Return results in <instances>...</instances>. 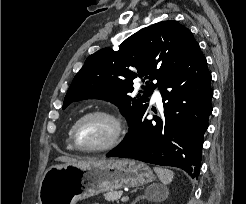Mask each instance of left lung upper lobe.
I'll return each mask as SVG.
<instances>
[{
    "mask_svg": "<svg viewBox=\"0 0 246 204\" xmlns=\"http://www.w3.org/2000/svg\"><path fill=\"white\" fill-rule=\"evenodd\" d=\"M198 44L177 21H162L126 39L119 50L104 48L90 55L74 77L63 109L74 101L98 98L116 104L131 124L148 107V96L185 60ZM143 79L144 91L133 92V80ZM157 84H149V80ZM146 80V81H145Z\"/></svg>",
    "mask_w": 246,
    "mask_h": 204,
    "instance_id": "obj_1",
    "label": "left lung upper lobe"
}]
</instances>
